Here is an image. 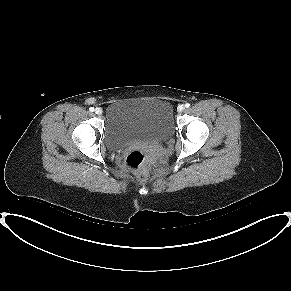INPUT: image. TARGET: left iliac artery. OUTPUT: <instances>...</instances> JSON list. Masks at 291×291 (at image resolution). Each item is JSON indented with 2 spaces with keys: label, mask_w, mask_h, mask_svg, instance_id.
Returning a JSON list of instances; mask_svg holds the SVG:
<instances>
[{
  "label": "left iliac artery",
  "mask_w": 291,
  "mask_h": 291,
  "mask_svg": "<svg viewBox=\"0 0 291 291\" xmlns=\"http://www.w3.org/2000/svg\"><path fill=\"white\" fill-rule=\"evenodd\" d=\"M185 107H186V108H189V107H190V104H189V103H186V104H185Z\"/></svg>",
  "instance_id": "obj_1"
}]
</instances>
